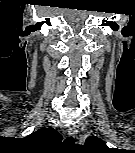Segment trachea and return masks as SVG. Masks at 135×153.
<instances>
[{"label":"trachea","mask_w":135,"mask_h":153,"mask_svg":"<svg viewBox=\"0 0 135 153\" xmlns=\"http://www.w3.org/2000/svg\"><path fill=\"white\" fill-rule=\"evenodd\" d=\"M64 143H66V144H73L74 143L73 137H68L67 139H65Z\"/></svg>","instance_id":"obj_1"}]
</instances>
